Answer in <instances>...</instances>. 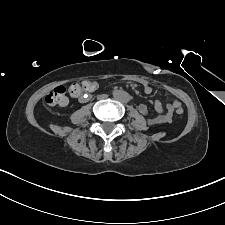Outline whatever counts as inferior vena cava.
<instances>
[{
	"instance_id": "inferior-vena-cava-1",
	"label": "inferior vena cava",
	"mask_w": 225,
	"mask_h": 225,
	"mask_svg": "<svg viewBox=\"0 0 225 225\" xmlns=\"http://www.w3.org/2000/svg\"><path fill=\"white\" fill-rule=\"evenodd\" d=\"M99 98L100 99H105V98H107V95L106 94L99 95Z\"/></svg>"
}]
</instances>
